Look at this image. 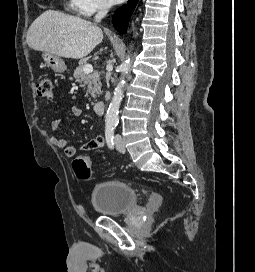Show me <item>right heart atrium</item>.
Masks as SVG:
<instances>
[{"label": "right heart atrium", "mask_w": 255, "mask_h": 272, "mask_svg": "<svg viewBox=\"0 0 255 272\" xmlns=\"http://www.w3.org/2000/svg\"><path fill=\"white\" fill-rule=\"evenodd\" d=\"M68 8L77 15L90 17L109 8L107 0H69Z\"/></svg>", "instance_id": "1"}]
</instances>
